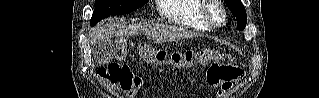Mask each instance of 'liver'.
Here are the masks:
<instances>
[{
    "label": "liver",
    "mask_w": 319,
    "mask_h": 98,
    "mask_svg": "<svg viewBox=\"0 0 319 98\" xmlns=\"http://www.w3.org/2000/svg\"><path fill=\"white\" fill-rule=\"evenodd\" d=\"M140 33L151 36L156 43L172 42L197 36V34L177 26L141 22L127 24L111 20L95 30L92 42L96 47L116 36H134Z\"/></svg>",
    "instance_id": "liver-1"
}]
</instances>
